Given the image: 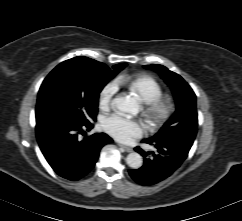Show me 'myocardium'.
Here are the masks:
<instances>
[{
    "label": "myocardium",
    "mask_w": 242,
    "mask_h": 221,
    "mask_svg": "<svg viewBox=\"0 0 242 221\" xmlns=\"http://www.w3.org/2000/svg\"><path fill=\"white\" fill-rule=\"evenodd\" d=\"M144 112L152 124L160 126L172 118L175 112V106L170 99L158 97L145 103Z\"/></svg>",
    "instance_id": "myocardium-1"
}]
</instances>
